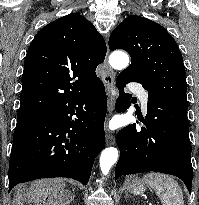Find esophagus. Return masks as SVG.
Wrapping results in <instances>:
<instances>
[{"mask_svg":"<svg viewBox=\"0 0 199 205\" xmlns=\"http://www.w3.org/2000/svg\"><path fill=\"white\" fill-rule=\"evenodd\" d=\"M106 43H108V36L105 37ZM107 55H108V49H107ZM114 80H115V73L114 71L109 67L107 56L104 61V75L102 77V81L105 85L106 94L108 98V113L109 116L112 115L114 110V104H115V96L113 93V86H114ZM116 143L115 137L113 134L108 133L107 134V144L108 145H114Z\"/></svg>","mask_w":199,"mask_h":205,"instance_id":"esophagus-1","label":"esophagus"}]
</instances>
